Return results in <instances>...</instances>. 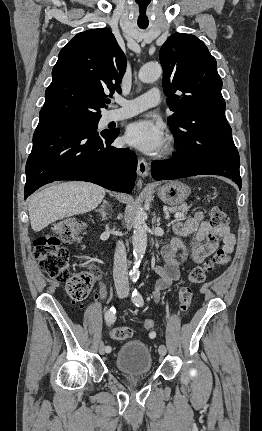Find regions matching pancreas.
I'll return each mask as SVG.
<instances>
[{
  "mask_svg": "<svg viewBox=\"0 0 262 431\" xmlns=\"http://www.w3.org/2000/svg\"><path fill=\"white\" fill-rule=\"evenodd\" d=\"M187 209H188V207H187V206H180V207H173V208H171L170 210H171V211H173V212H176V211L186 212V211H187ZM183 217H184V216H183ZM183 217H181V218H183Z\"/></svg>",
  "mask_w": 262,
  "mask_h": 431,
  "instance_id": "cf45deb5",
  "label": "pancreas"
}]
</instances>
